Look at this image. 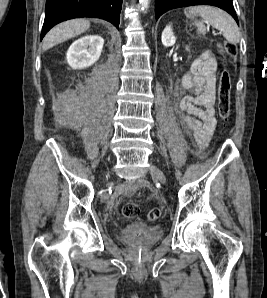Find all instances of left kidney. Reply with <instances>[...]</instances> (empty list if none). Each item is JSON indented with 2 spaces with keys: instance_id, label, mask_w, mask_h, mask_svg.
<instances>
[{
  "instance_id": "1",
  "label": "left kidney",
  "mask_w": 267,
  "mask_h": 298,
  "mask_svg": "<svg viewBox=\"0 0 267 298\" xmlns=\"http://www.w3.org/2000/svg\"><path fill=\"white\" fill-rule=\"evenodd\" d=\"M161 39H162V44L165 47H170L175 44L176 37L174 36L171 26H167L163 30ZM186 50H189L188 47H186Z\"/></svg>"
}]
</instances>
